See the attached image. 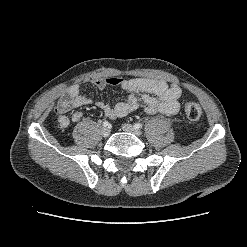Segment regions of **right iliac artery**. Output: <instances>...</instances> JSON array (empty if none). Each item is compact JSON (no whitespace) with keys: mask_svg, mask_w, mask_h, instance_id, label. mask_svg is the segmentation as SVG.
<instances>
[{"mask_svg":"<svg viewBox=\"0 0 247 247\" xmlns=\"http://www.w3.org/2000/svg\"><path fill=\"white\" fill-rule=\"evenodd\" d=\"M103 126H104V127L109 126V122H108V121H104V122H103Z\"/></svg>","mask_w":247,"mask_h":247,"instance_id":"1","label":"right iliac artery"}]
</instances>
